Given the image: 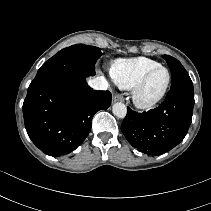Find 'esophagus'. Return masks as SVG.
<instances>
[{
	"instance_id": "34e87169",
	"label": "esophagus",
	"mask_w": 211,
	"mask_h": 211,
	"mask_svg": "<svg viewBox=\"0 0 211 211\" xmlns=\"http://www.w3.org/2000/svg\"><path fill=\"white\" fill-rule=\"evenodd\" d=\"M123 100V96L122 95H115L113 98H112V102L115 103V102H118V101H122Z\"/></svg>"
}]
</instances>
